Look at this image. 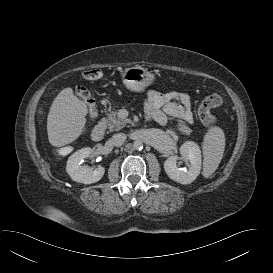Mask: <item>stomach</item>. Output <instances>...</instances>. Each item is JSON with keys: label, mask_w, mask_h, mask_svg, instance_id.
I'll return each mask as SVG.
<instances>
[{"label": "stomach", "mask_w": 273, "mask_h": 273, "mask_svg": "<svg viewBox=\"0 0 273 273\" xmlns=\"http://www.w3.org/2000/svg\"><path fill=\"white\" fill-rule=\"evenodd\" d=\"M155 76L147 68L134 66L126 68L122 72V82L124 86L133 92H143L153 84Z\"/></svg>", "instance_id": "stomach-1"}]
</instances>
